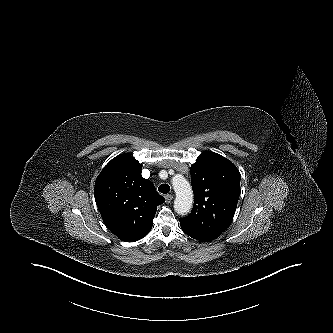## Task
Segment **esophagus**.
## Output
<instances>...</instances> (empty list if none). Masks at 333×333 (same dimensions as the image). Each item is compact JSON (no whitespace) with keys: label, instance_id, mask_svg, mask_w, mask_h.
Instances as JSON below:
<instances>
[{"label":"esophagus","instance_id":"obj_1","mask_svg":"<svg viewBox=\"0 0 333 333\" xmlns=\"http://www.w3.org/2000/svg\"><path fill=\"white\" fill-rule=\"evenodd\" d=\"M166 199V203H171V201L173 200V195L172 194H168L165 196Z\"/></svg>","mask_w":333,"mask_h":333}]
</instances>
